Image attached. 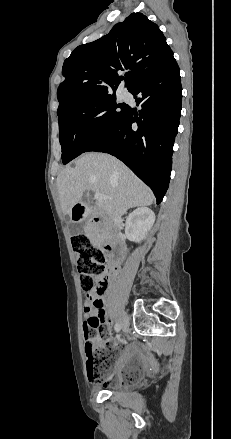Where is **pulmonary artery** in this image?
<instances>
[{
	"instance_id": "pulmonary-artery-1",
	"label": "pulmonary artery",
	"mask_w": 231,
	"mask_h": 439,
	"mask_svg": "<svg viewBox=\"0 0 231 439\" xmlns=\"http://www.w3.org/2000/svg\"><path fill=\"white\" fill-rule=\"evenodd\" d=\"M121 97L123 100H130V98H131L130 94L126 91L121 94Z\"/></svg>"
}]
</instances>
